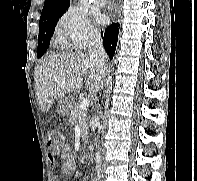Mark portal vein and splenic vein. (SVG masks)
Masks as SVG:
<instances>
[{
    "mask_svg": "<svg viewBox=\"0 0 197 181\" xmlns=\"http://www.w3.org/2000/svg\"><path fill=\"white\" fill-rule=\"evenodd\" d=\"M89 107V100L87 98H83L80 102V109L87 110Z\"/></svg>",
    "mask_w": 197,
    "mask_h": 181,
    "instance_id": "obj_1",
    "label": "portal vein and splenic vein"
}]
</instances>
